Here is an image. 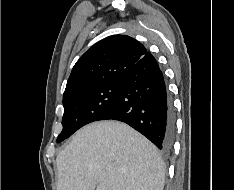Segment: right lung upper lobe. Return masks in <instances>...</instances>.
<instances>
[{
    "label": "right lung upper lobe",
    "instance_id": "right-lung-upper-lobe-1",
    "mask_svg": "<svg viewBox=\"0 0 234 190\" xmlns=\"http://www.w3.org/2000/svg\"><path fill=\"white\" fill-rule=\"evenodd\" d=\"M146 53L140 42L126 35H113L97 42L74 65L63 100L75 93L120 81Z\"/></svg>",
    "mask_w": 234,
    "mask_h": 190
}]
</instances>
